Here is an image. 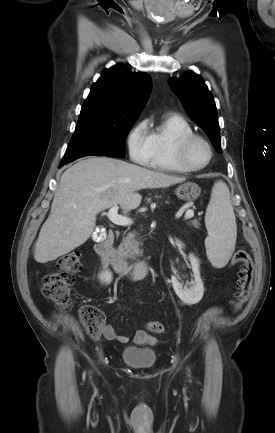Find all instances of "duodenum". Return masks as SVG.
Masks as SVG:
<instances>
[{"label":"duodenum","mask_w":275,"mask_h":433,"mask_svg":"<svg viewBox=\"0 0 275 433\" xmlns=\"http://www.w3.org/2000/svg\"><path fill=\"white\" fill-rule=\"evenodd\" d=\"M115 233L109 230L104 239H97L96 252L111 264L117 274L132 280H140L147 277L152 267L148 261L129 264L124 257L114 248Z\"/></svg>","instance_id":"410a0bca"}]
</instances>
